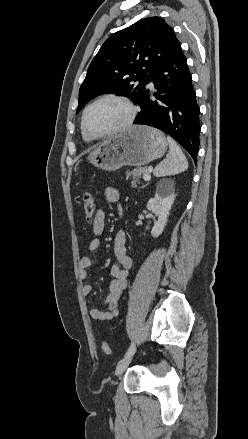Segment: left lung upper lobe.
<instances>
[{
  "mask_svg": "<svg viewBox=\"0 0 248 439\" xmlns=\"http://www.w3.org/2000/svg\"><path fill=\"white\" fill-rule=\"evenodd\" d=\"M177 41L159 17L141 19L111 35L88 68L76 112L102 94L127 96L140 105L153 73Z\"/></svg>",
  "mask_w": 248,
  "mask_h": 439,
  "instance_id": "5c2ea615",
  "label": "left lung upper lobe"
}]
</instances>
